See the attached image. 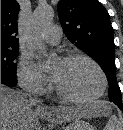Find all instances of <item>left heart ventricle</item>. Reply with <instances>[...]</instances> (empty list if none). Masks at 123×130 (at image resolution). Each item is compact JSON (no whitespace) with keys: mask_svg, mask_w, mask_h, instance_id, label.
I'll list each match as a JSON object with an SVG mask.
<instances>
[{"mask_svg":"<svg viewBox=\"0 0 123 130\" xmlns=\"http://www.w3.org/2000/svg\"><path fill=\"white\" fill-rule=\"evenodd\" d=\"M50 75L65 94L76 98L90 97L101 86L97 70L84 60H57L50 68Z\"/></svg>","mask_w":123,"mask_h":130,"instance_id":"left-heart-ventricle-1","label":"left heart ventricle"}]
</instances>
